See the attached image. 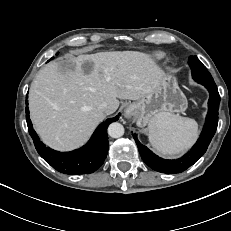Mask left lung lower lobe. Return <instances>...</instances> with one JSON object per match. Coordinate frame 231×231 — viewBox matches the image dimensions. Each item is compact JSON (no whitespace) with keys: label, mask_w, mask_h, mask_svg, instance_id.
<instances>
[{"label":"left lung lower lobe","mask_w":231,"mask_h":231,"mask_svg":"<svg viewBox=\"0 0 231 231\" xmlns=\"http://www.w3.org/2000/svg\"><path fill=\"white\" fill-rule=\"evenodd\" d=\"M209 91L208 113L204 128L199 139L191 150L183 157L177 160H166L158 157L146 146L142 145L136 134H133L134 140L138 146L139 153L143 161L155 171L174 174L180 173L193 165L206 152L218 125V110L220 104V95L216 85L202 84Z\"/></svg>","instance_id":"0a47b994"}]
</instances>
